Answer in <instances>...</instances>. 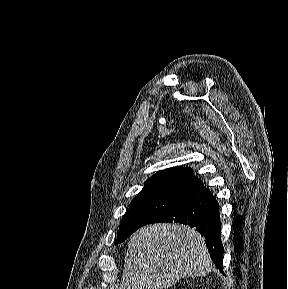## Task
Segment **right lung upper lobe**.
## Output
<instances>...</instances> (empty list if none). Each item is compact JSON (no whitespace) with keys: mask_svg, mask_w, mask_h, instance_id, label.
<instances>
[{"mask_svg":"<svg viewBox=\"0 0 288 289\" xmlns=\"http://www.w3.org/2000/svg\"><path fill=\"white\" fill-rule=\"evenodd\" d=\"M201 180L191 168L175 167L162 170L151 176L145 182L143 190L154 188H174L188 191Z\"/></svg>","mask_w":288,"mask_h":289,"instance_id":"right-lung-upper-lobe-1","label":"right lung upper lobe"}]
</instances>
